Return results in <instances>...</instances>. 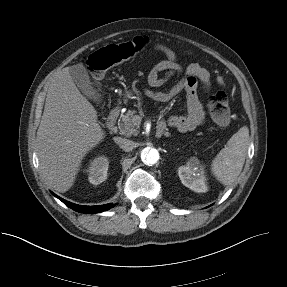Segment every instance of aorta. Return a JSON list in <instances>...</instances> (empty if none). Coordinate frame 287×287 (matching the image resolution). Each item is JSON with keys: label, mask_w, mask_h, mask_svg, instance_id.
Listing matches in <instances>:
<instances>
[{"label": "aorta", "mask_w": 287, "mask_h": 287, "mask_svg": "<svg viewBox=\"0 0 287 287\" xmlns=\"http://www.w3.org/2000/svg\"><path fill=\"white\" fill-rule=\"evenodd\" d=\"M141 160L144 164L154 165L159 160V152L152 147H146L140 152Z\"/></svg>", "instance_id": "obj_1"}]
</instances>
